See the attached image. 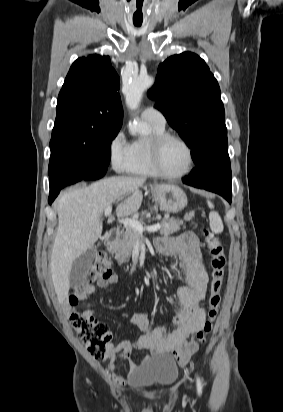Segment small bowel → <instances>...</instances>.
Here are the masks:
<instances>
[{
	"label": "small bowel",
	"mask_w": 283,
	"mask_h": 412,
	"mask_svg": "<svg viewBox=\"0 0 283 412\" xmlns=\"http://www.w3.org/2000/svg\"><path fill=\"white\" fill-rule=\"evenodd\" d=\"M156 248L163 254L175 255L177 265L184 279V285L178 289L179 306L174 310L171 318L172 330L168 324L162 323L153 326L152 321L145 311H139L129 318V323L143 331V334L134 342L123 340L108 345L106 358L109 360L108 371L116 383L125 382L122 374H115V362L127 359L129 362V376L137 371L140 366L131 359L133 350H147L155 357H163L175 354L178 364L183 366L189 361L192 352L177 355L178 349L186 338L200 330L205 321V294L208 275L201 263L199 241L193 231H185L178 237L158 238L155 241ZM117 280V274L100 280L98 286L108 288ZM94 291L93 286L85 289V294ZM93 315L92 310H87ZM150 356H145L143 362H147Z\"/></svg>",
	"instance_id": "obj_1"
}]
</instances>
